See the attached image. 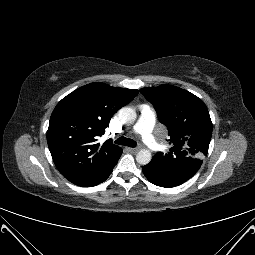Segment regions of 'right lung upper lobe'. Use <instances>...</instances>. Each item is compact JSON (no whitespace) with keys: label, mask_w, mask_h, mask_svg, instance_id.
Here are the masks:
<instances>
[{"label":"right lung upper lobe","mask_w":255,"mask_h":255,"mask_svg":"<svg viewBox=\"0 0 255 255\" xmlns=\"http://www.w3.org/2000/svg\"><path fill=\"white\" fill-rule=\"evenodd\" d=\"M137 90L96 82L80 87L55 107L47 142L57 169L75 185H87L107 172L122 149L107 140L97 143L112 115L128 104Z\"/></svg>","instance_id":"1"}]
</instances>
